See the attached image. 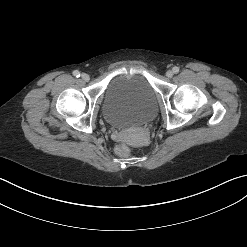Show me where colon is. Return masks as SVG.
<instances>
[{"label": "colon", "mask_w": 247, "mask_h": 247, "mask_svg": "<svg viewBox=\"0 0 247 247\" xmlns=\"http://www.w3.org/2000/svg\"><path fill=\"white\" fill-rule=\"evenodd\" d=\"M116 153L120 156H127L130 153V146L127 144H120L116 147Z\"/></svg>", "instance_id": "colon-1"}]
</instances>
